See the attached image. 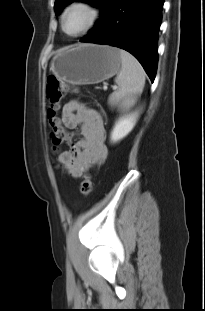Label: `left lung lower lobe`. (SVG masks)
I'll return each mask as SVG.
<instances>
[{
  "label": "left lung lower lobe",
  "mask_w": 205,
  "mask_h": 311,
  "mask_svg": "<svg viewBox=\"0 0 205 311\" xmlns=\"http://www.w3.org/2000/svg\"><path fill=\"white\" fill-rule=\"evenodd\" d=\"M164 0H114L109 13L81 42L108 44L130 52L154 81L158 30Z\"/></svg>",
  "instance_id": "obj_1"
}]
</instances>
